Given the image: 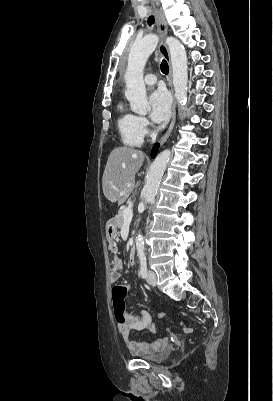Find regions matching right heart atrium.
<instances>
[{
	"instance_id": "right-heart-atrium-1",
	"label": "right heart atrium",
	"mask_w": 273,
	"mask_h": 401,
	"mask_svg": "<svg viewBox=\"0 0 273 401\" xmlns=\"http://www.w3.org/2000/svg\"><path fill=\"white\" fill-rule=\"evenodd\" d=\"M137 124L139 131L143 136H149L152 134L151 126L148 120L144 116H137Z\"/></svg>"
}]
</instances>
